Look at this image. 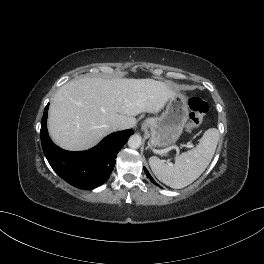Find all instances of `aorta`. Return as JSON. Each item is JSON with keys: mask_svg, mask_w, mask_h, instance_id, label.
Instances as JSON below:
<instances>
[{"mask_svg": "<svg viewBox=\"0 0 264 264\" xmlns=\"http://www.w3.org/2000/svg\"><path fill=\"white\" fill-rule=\"evenodd\" d=\"M142 138L138 134L132 135L128 140V146L132 149H137L141 146Z\"/></svg>", "mask_w": 264, "mask_h": 264, "instance_id": "aorta-1", "label": "aorta"}]
</instances>
